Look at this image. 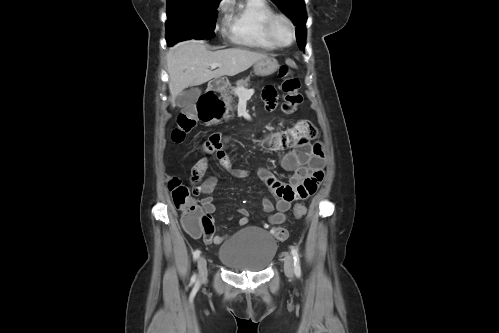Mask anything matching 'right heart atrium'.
<instances>
[{
  "label": "right heart atrium",
  "mask_w": 499,
  "mask_h": 333,
  "mask_svg": "<svg viewBox=\"0 0 499 333\" xmlns=\"http://www.w3.org/2000/svg\"><path fill=\"white\" fill-rule=\"evenodd\" d=\"M219 10H220V13L222 14V12H223V10H224V9H223V5H221V6L219 7ZM225 12H226V8H225ZM226 21H227V17H226V19L224 18V19L221 21V25H222L223 27L226 25Z\"/></svg>",
  "instance_id": "right-heart-atrium-1"
}]
</instances>
